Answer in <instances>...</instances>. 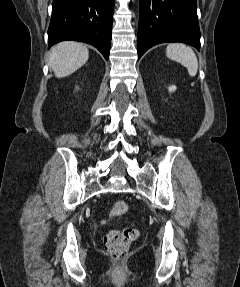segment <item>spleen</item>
Instances as JSON below:
<instances>
[{
	"mask_svg": "<svg viewBox=\"0 0 240 287\" xmlns=\"http://www.w3.org/2000/svg\"><path fill=\"white\" fill-rule=\"evenodd\" d=\"M166 55L169 59L179 62L186 67L191 77L197 74L198 60L190 47L182 43H172L167 46Z\"/></svg>",
	"mask_w": 240,
	"mask_h": 287,
	"instance_id": "3e777b00",
	"label": "spleen"
}]
</instances>
